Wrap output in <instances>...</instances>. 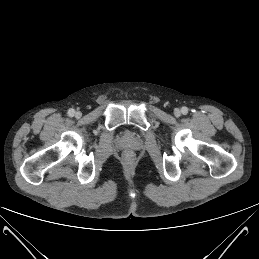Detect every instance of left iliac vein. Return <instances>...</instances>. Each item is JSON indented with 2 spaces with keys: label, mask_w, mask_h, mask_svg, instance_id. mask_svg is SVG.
<instances>
[{
  "label": "left iliac vein",
  "mask_w": 259,
  "mask_h": 259,
  "mask_svg": "<svg viewBox=\"0 0 259 259\" xmlns=\"http://www.w3.org/2000/svg\"><path fill=\"white\" fill-rule=\"evenodd\" d=\"M174 115L179 117L181 115V111L178 108L174 109Z\"/></svg>",
  "instance_id": "4c4485c4"
}]
</instances>
